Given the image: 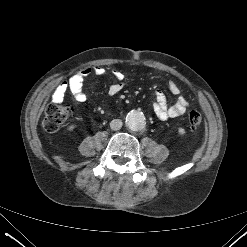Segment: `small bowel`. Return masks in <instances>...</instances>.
Wrapping results in <instances>:
<instances>
[{"label":"small bowel","instance_id":"c3829d8e","mask_svg":"<svg viewBox=\"0 0 247 247\" xmlns=\"http://www.w3.org/2000/svg\"><path fill=\"white\" fill-rule=\"evenodd\" d=\"M90 74L104 76L107 72L102 66L98 65L77 72L68 81L61 82L54 89L52 93L53 102L61 103L67 91L71 92L76 102H85L87 100V95L83 90V83ZM111 77L113 83L109 86L108 92L110 95H115L122 91L124 87V75L119 70H113L111 72ZM168 86L173 94H178L180 92V89L175 82L170 81ZM187 107V100L182 96H180L173 105H169L165 94L161 90H157L155 93L154 111L156 116L162 121L183 115L186 112Z\"/></svg>","mask_w":247,"mask_h":247}]
</instances>
